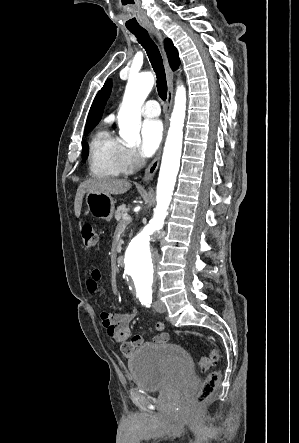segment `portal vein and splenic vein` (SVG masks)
<instances>
[{
	"mask_svg": "<svg viewBox=\"0 0 299 443\" xmlns=\"http://www.w3.org/2000/svg\"><path fill=\"white\" fill-rule=\"evenodd\" d=\"M123 220L129 221V220H131V217L128 214H124L123 215Z\"/></svg>",
	"mask_w": 299,
	"mask_h": 443,
	"instance_id": "portal-vein-and-splenic-vein-1",
	"label": "portal vein and splenic vein"
}]
</instances>
